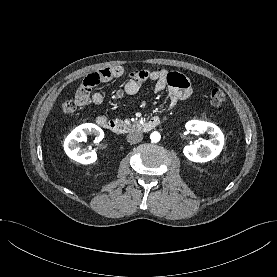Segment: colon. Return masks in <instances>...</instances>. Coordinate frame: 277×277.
<instances>
[{"label":"colon","instance_id":"5ec220e1","mask_svg":"<svg viewBox=\"0 0 277 277\" xmlns=\"http://www.w3.org/2000/svg\"><path fill=\"white\" fill-rule=\"evenodd\" d=\"M210 103L216 108H222L227 104V96L222 90L215 89L210 94ZM77 104V101L66 100L62 102L61 110L64 114L71 115L76 111Z\"/></svg>","mask_w":277,"mask_h":277}]
</instances>
